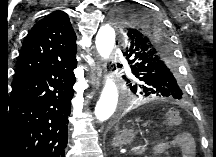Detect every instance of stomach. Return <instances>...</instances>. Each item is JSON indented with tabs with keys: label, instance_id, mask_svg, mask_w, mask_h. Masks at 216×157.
<instances>
[{
	"label": "stomach",
	"instance_id": "1",
	"mask_svg": "<svg viewBox=\"0 0 216 157\" xmlns=\"http://www.w3.org/2000/svg\"><path fill=\"white\" fill-rule=\"evenodd\" d=\"M135 137V132L133 130L125 129L120 134H118L114 140L113 145L114 146H125L127 144H130Z\"/></svg>",
	"mask_w": 216,
	"mask_h": 157
}]
</instances>
